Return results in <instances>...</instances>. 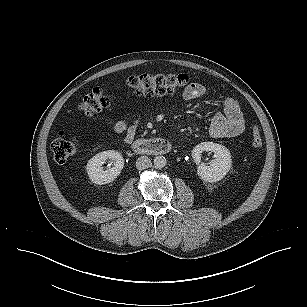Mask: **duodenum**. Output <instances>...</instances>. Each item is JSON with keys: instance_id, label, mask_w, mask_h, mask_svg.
Instances as JSON below:
<instances>
[{"instance_id": "1", "label": "duodenum", "mask_w": 307, "mask_h": 307, "mask_svg": "<svg viewBox=\"0 0 307 307\" xmlns=\"http://www.w3.org/2000/svg\"><path fill=\"white\" fill-rule=\"evenodd\" d=\"M134 151L148 155H165L171 151V144L165 138L137 139L132 141Z\"/></svg>"}]
</instances>
